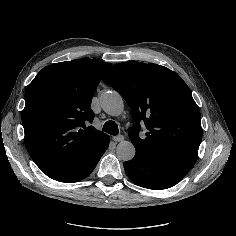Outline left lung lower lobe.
<instances>
[{
	"mask_svg": "<svg viewBox=\"0 0 236 236\" xmlns=\"http://www.w3.org/2000/svg\"><path fill=\"white\" fill-rule=\"evenodd\" d=\"M124 169L136 185L156 190L172 187L185 176L168 163L138 149L134 158L124 163Z\"/></svg>",
	"mask_w": 236,
	"mask_h": 236,
	"instance_id": "left-lung-lower-lobe-1",
	"label": "left lung lower lobe"
}]
</instances>
